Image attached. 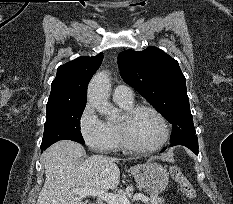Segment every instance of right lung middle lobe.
Wrapping results in <instances>:
<instances>
[{
  "instance_id": "dd1d6c3e",
  "label": "right lung middle lobe",
  "mask_w": 233,
  "mask_h": 204,
  "mask_svg": "<svg viewBox=\"0 0 233 204\" xmlns=\"http://www.w3.org/2000/svg\"><path fill=\"white\" fill-rule=\"evenodd\" d=\"M84 108L85 102L47 105L41 149H46L59 140L84 144L80 131V118Z\"/></svg>"
}]
</instances>
